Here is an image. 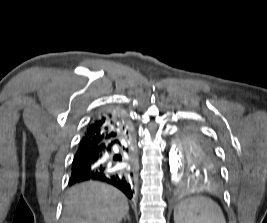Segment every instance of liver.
<instances>
[{
    "label": "liver",
    "mask_w": 267,
    "mask_h": 223,
    "mask_svg": "<svg viewBox=\"0 0 267 223\" xmlns=\"http://www.w3.org/2000/svg\"><path fill=\"white\" fill-rule=\"evenodd\" d=\"M128 210V201L119 190L87 182L70 189L61 223H120Z\"/></svg>",
    "instance_id": "liver-1"
}]
</instances>
